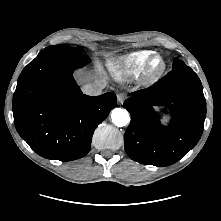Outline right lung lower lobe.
I'll return each instance as SVG.
<instances>
[{
	"label": "right lung lower lobe",
	"instance_id": "1",
	"mask_svg": "<svg viewBox=\"0 0 221 221\" xmlns=\"http://www.w3.org/2000/svg\"><path fill=\"white\" fill-rule=\"evenodd\" d=\"M89 62L82 53L41 52L18 78L15 127L44 158L69 161L86 155L94 130L117 104L114 93L82 94L72 73Z\"/></svg>",
	"mask_w": 221,
	"mask_h": 221
}]
</instances>
